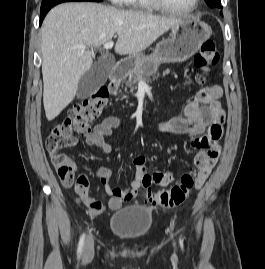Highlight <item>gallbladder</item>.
<instances>
[{
  "label": "gallbladder",
  "mask_w": 265,
  "mask_h": 269,
  "mask_svg": "<svg viewBox=\"0 0 265 269\" xmlns=\"http://www.w3.org/2000/svg\"><path fill=\"white\" fill-rule=\"evenodd\" d=\"M113 63L102 59L96 62L79 80L76 96L85 99L96 93L104 85Z\"/></svg>",
  "instance_id": "1"
}]
</instances>
